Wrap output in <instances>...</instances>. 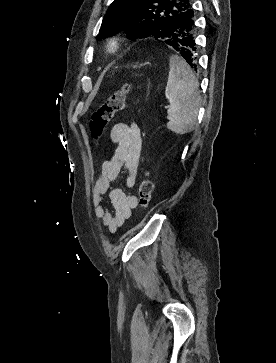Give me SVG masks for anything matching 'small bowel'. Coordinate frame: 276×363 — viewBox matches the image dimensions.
Returning a JSON list of instances; mask_svg holds the SVG:
<instances>
[{"mask_svg":"<svg viewBox=\"0 0 276 363\" xmlns=\"http://www.w3.org/2000/svg\"><path fill=\"white\" fill-rule=\"evenodd\" d=\"M110 140L115 145V151L101 166L92 190V203L95 217L110 232L115 233L137 207L135 195L112 188V183L126 169V186L132 188L135 185L142 147L140 128L134 121L116 123L110 131ZM106 196L110 199L112 209L105 205Z\"/></svg>","mask_w":276,"mask_h":363,"instance_id":"small-bowel-1","label":"small bowel"}]
</instances>
